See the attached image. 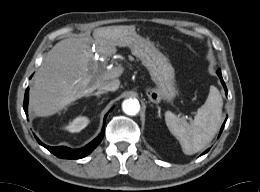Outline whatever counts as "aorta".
Returning <instances> with one entry per match:
<instances>
[{
    "label": "aorta",
    "mask_w": 260,
    "mask_h": 192,
    "mask_svg": "<svg viewBox=\"0 0 260 192\" xmlns=\"http://www.w3.org/2000/svg\"><path fill=\"white\" fill-rule=\"evenodd\" d=\"M122 109L127 115H136L140 110V104L137 99H127L122 103Z\"/></svg>",
    "instance_id": "aorta-1"
}]
</instances>
